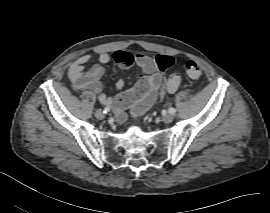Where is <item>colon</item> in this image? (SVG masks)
Segmentation results:
<instances>
[{
    "mask_svg": "<svg viewBox=\"0 0 270 213\" xmlns=\"http://www.w3.org/2000/svg\"><path fill=\"white\" fill-rule=\"evenodd\" d=\"M118 60L126 61L130 63L132 61L131 56L126 52H116L114 55ZM164 66L169 64L168 58H159ZM187 75L192 79H200L202 77V69L201 67L194 61H187L184 65ZM181 78L178 74H172L169 76L166 82V90L175 91L180 85ZM124 99L127 103L137 104L140 99V94L137 90H133L124 95Z\"/></svg>",
    "mask_w": 270,
    "mask_h": 213,
    "instance_id": "colon-1",
    "label": "colon"
}]
</instances>
